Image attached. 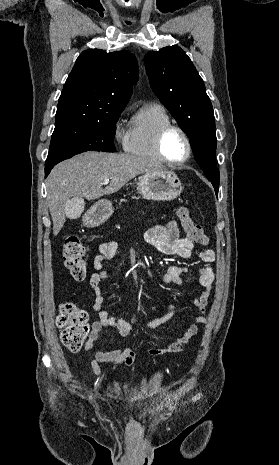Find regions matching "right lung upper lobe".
Returning <instances> with one entry per match:
<instances>
[{
    "label": "right lung upper lobe",
    "mask_w": 279,
    "mask_h": 465,
    "mask_svg": "<svg viewBox=\"0 0 279 465\" xmlns=\"http://www.w3.org/2000/svg\"><path fill=\"white\" fill-rule=\"evenodd\" d=\"M137 81V62L129 51L82 52L60 95L55 126L100 120L110 111L124 109Z\"/></svg>",
    "instance_id": "right-lung-upper-lobe-1"
}]
</instances>
